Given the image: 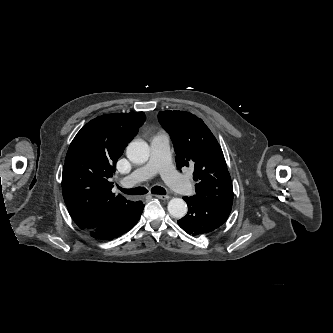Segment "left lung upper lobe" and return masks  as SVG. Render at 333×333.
<instances>
[{
  "label": "left lung upper lobe",
  "instance_id": "5c2ea615",
  "mask_svg": "<svg viewBox=\"0 0 333 333\" xmlns=\"http://www.w3.org/2000/svg\"><path fill=\"white\" fill-rule=\"evenodd\" d=\"M158 119L171 136L177 168H194V196L211 205L232 208L233 187L222 149L202 119L171 110L160 112Z\"/></svg>",
  "mask_w": 333,
  "mask_h": 333
}]
</instances>
